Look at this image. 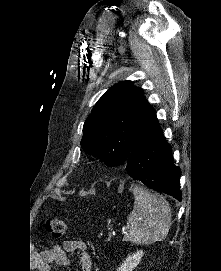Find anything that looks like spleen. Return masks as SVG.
<instances>
[{
    "mask_svg": "<svg viewBox=\"0 0 221 271\" xmlns=\"http://www.w3.org/2000/svg\"><path fill=\"white\" fill-rule=\"evenodd\" d=\"M135 201L128 215L129 229L124 241L149 245L163 241L171 225L170 203L156 193H149L142 187L133 189Z\"/></svg>",
    "mask_w": 221,
    "mask_h": 271,
    "instance_id": "obj_1",
    "label": "spleen"
}]
</instances>
